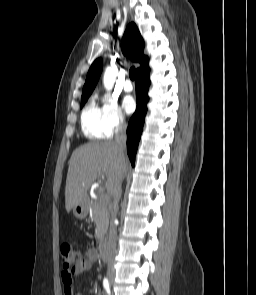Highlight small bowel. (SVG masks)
<instances>
[{
  "label": "small bowel",
  "mask_w": 256,
  "mask_h": 295,
  "mask_svg": "<svg viewBox=\"0 0 256 295\" xmlns=\"http://www.w3.org/2000/svg\"><path fill=\"white\" fill-rule=\"evenodd\" d=\"M97 260V251L89 247L85 250L84 256L72 270H65L61 273L65 295H82L74 291L73 277L83 272L89 271L93 263ZM97 295H105L103 291L98 290Z\"/></svg>",
  "instance_id": "small-bowel-1"
}]
</instances>
